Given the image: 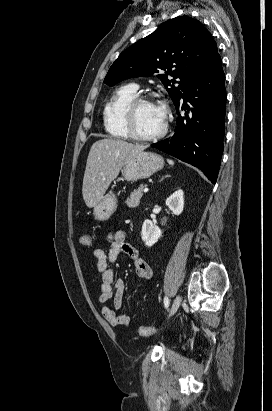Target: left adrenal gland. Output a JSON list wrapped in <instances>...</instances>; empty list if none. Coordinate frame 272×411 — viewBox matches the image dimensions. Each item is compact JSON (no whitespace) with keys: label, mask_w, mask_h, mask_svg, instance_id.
<instances>
[{"label":"left adrenal gland","mask_w":272,"mask_h":411,"mask_svg":"<svg viewBox=\"0 0 272 411\" xmlns=\"http://www.w3.org/2000/svg\"><path fill=\"white\" fill-rule=\"evenodd\" d=\"M169 175H165L164 177L161 178V180H163L164 178L168 177Z\"/></svg>","instance_id":"a2214340"}]
</instances>
